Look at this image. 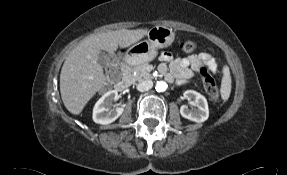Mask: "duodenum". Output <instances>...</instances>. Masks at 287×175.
I'll return each instance as SVG.
<instances>
[{
  "mask_svg": "<svg viewBox=\"0 0 287 175\" xmlns=\"http://www.w3.org/2000/svg\"><path fill=\"white\" fill-rule=\"evenodd\" d=\"M129 65V60H125L121 65L122 77L115 85L119 91H124L130 86L131 79L129 74Z\"/></svg>",
  "mask_w": 287,
  "mask_h": 175,
  "instance_id": "410a0bca",
  "label": "duodenum"
}]
</instances>
